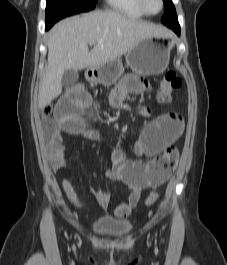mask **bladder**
<instances>
[{
	"instance_id": "31cf9c89",
	"label": "bladder",
	"mask_w": 227,
	"mask_h": 265,
	"mask_svg": "<svg viewBox=\"0 0 227 265\" xmlns=\"http://www.w3.org/2000/svg\"><path fill=\"white\" fill-rule=\"evenodd\" d=\"M93 230L100 236L109 238H122L130 233L131 227L129 225L110 222H98L93 226Z\"/></svg>"
}]
</instances>
